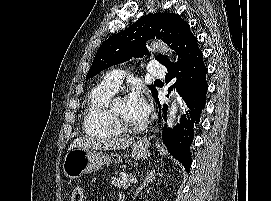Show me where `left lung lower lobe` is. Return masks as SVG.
I'll use <instances>...</instances> for the list:
<instances>
[{"label":"left lung lower lobe","instance_id":"left-lung-lower-lobe-1","mask_svg":"<svg viewBox=\"0 0 271 201\" xmlns=\"http://www.w3.org/2000/svg\"><path fill=\"white\" fill-rule=\"evenodd\" d=\"M176 53L178 62H169L165 67L168 70L167 82L177 77L176 83L169 88V91L176 88L179 95L183 97L187 105L186 114L180 119L172 131L166 127L163 131V142L169 153L179 160L189 172L191 166L190 145L194 136V124L200 121V113L206 103V82L207 68L203 63V54L198 47L197 38L178 46ZM159 104L157 91L153 94ZM160 110L161 106L159 104ZM164 118L167 115V106L163 107Z\"/></svg>","mask_w":271,"mask_h":201}]
</instances>
